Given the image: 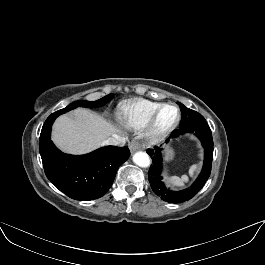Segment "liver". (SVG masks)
I'll return each instance as SVG.
<instances>
[{"label":"liver","mask_w":265,"mask_h":265,"mask_svg":"<svg viewBox=\"0 0 265 265\" xmlns=\"http://www.w3.org/2000/svg\"><path fill=\"white\" fill-rule=\"evenodd\" d=\"M119 133L120 129L100 115L86 109H76L72 115H62L56 119L52 140L65 153L85 154Z\"/></svg>","instance_id":"1"}]
</instances>
